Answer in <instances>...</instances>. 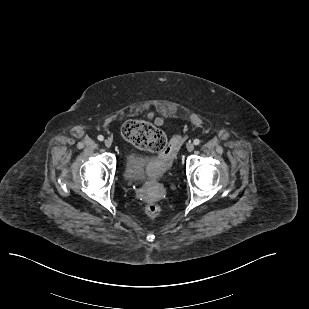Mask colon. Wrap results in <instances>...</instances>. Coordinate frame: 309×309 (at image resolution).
Instances as JSON below:
<instances>
[{"instance_id":"1","label":"colon","mask_w":309,"mask_h":309,"mask_svg":"<svg viewBox=\"0 0 309 309\" xmlns=\"http://www.w3.org/2000/svg\"><path fill=\"white\" fill-rule=\"evenodd\" d=\"M122 136L135 147L151 151L159 152L160 159L163 163L170 161L169 156L176 150L180 143V138H175L170 144H167V139L164 133L150 123L142 120H129L121 129ZM145 212L149 217H156L160 213V206L157 203L151 202L146 204Z\"/></svg>"}]
</instances>
